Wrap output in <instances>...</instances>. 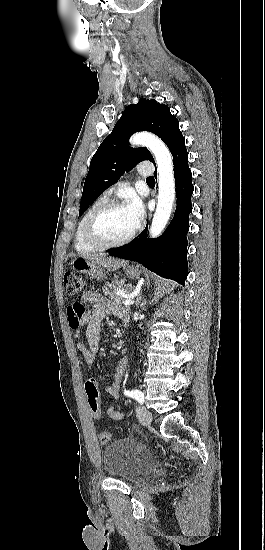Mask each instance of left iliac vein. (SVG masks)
I'll return each instance as SVG.
<instances>
[{"label": "left iliac vein", "instance_id": "left-iliac-vein-1", "mask_svg": "<svg viewBox=\"0 0 265 550\" xmlns=\"http://www.w3.org/2000/svg\"><path fill=\"white\" fill-rule=\"evenodd\" d=\"M137 417L139 421L145 425H149L152 421L151 412L143 406L137 408Z\"/></svg>", "mask_w": 265, "mask_h": 550}]
</instances>
